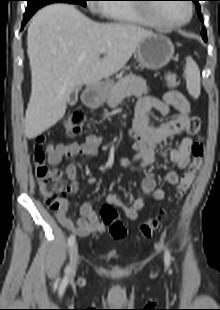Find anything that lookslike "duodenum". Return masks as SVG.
I'll return each instance as SVG.
<instances>
[{
  "instance_id": "obj_1",
  "label": "duodenum",
  "mask_w": 220,
  "mask_h": 310,
  "mask_svg": "<svg viewBox=\"0 0 220 310\" xmlns=\"http://www.w3.org/2000/svg\"><path fill=\"white\" fill-rule=\"evenodd\" d=\"M95 92H88L85 95V100L88 104L94 103L95 102Z\"/></svg>"
}]
</instances>
